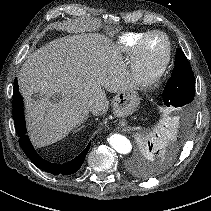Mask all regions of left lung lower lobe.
Returning a JSON list of instances; mask_svg holds the SVG:
<instances>
[{
  "label": "left lung lower lobe",
  "mask_w": 211,
  "mask_h": 211,
  "mask_svg": "<svg viewBox=\"0 0 211 211\" xmlns=\"http://www.w3.org/2000/svg\"><path fill=\"white\" fill-rule=\"evenodd\" d=\"M190 118L191 117L189 110H180L178 117V124L180 126L178 131L176 132V136L178 137H169L167 139H164L163 141L160 140L158 142H148L149 150H154V152L157 154L164 153L167 157L174 156L180 147L183 134L188 128L191 120Z\"/></svg>",
  "instance_id": "0a47b994"
}]
</instances>
